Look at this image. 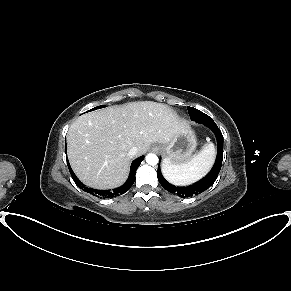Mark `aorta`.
Returning <instances> with one entry per match:
<instances>
[{
  "label": "aorta",
  "mask_w": 291,
  "mask_h": 291,
  "mask_svg": "<svg viewBox=\"0 0 291 291\" xmlns=\"http://www.w3.org/2000/svg\"><path fill=\"white\" fill-rule=\"evenodd\" d=\"M146 162L149 165H152V166L156 165L158 163V157H157V155L152 154V153L148 154L146 156Z\"/></svg>",
  "instance_id": "1"
}]
</instances>
